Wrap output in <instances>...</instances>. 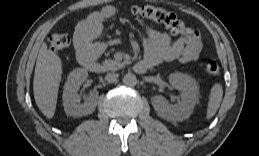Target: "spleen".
<instances>
[{"mask_svg": "<svg viewBox=\"0 0 259 156\" xmlns=\"http://www.w3.org/2000/svg\"><path fill=\"white\" fill-rule=\"evenodd\" d=\"M223 97V87L220 83H216L211 87L206 119H211L220 107Z\"/></svg>", "mask_w": 259, "mask_h": 156, "instance_id": "1", "label": "spleen"}]
</instances>
